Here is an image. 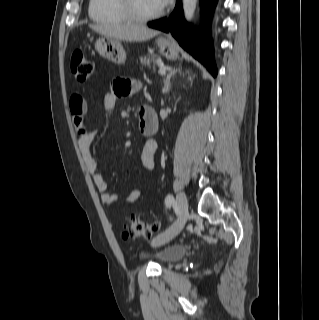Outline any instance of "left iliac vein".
<instances>
[{
	"instance_id": "4c4485c4",
	"label": "left iliac vein",
	"mask_w": 319,
	"mask_h": 320,
	"mask_svg": "<svg viewBox=\"0 0 319 320\" xmlns=\"http://www.w3.org/2000/svg\"><path fill=\"white\" fill-rule=\"evenodd\" d=\"M175 206L178 211V218L176 222L166 230L167 233H165V231L163 235H160L154 240V245L160 246L169 242L183 229L188 219V202L184 193L180 192L177 194Z\"/></svg>"
}]
</instances>
